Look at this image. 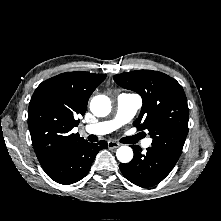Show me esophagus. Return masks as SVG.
I'll list each match as a JSON object with an SVG mask.
<instances>
[{
	"mask_svg": "<svg viewBox=\"0 0 221 221\" xmlns=\"http://www.w3.org/2000/svg\"><path fill=\"white\" fill-rule=\"evenodd\" d=\"M107 145L109 149H116L120 146L119 143L114 142V141H108Z\"/></svg>",
	"mask_w": 221,
	"mask_h": 221,
	"instance_id": "34e87169",
	"label": "esophagus"
}]
</instances>
